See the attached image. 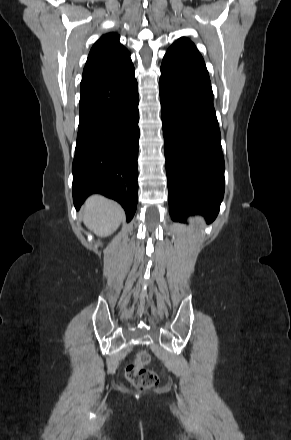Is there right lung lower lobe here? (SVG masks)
<instances>
[{
  "mask_svg": "<svg viewBox=\"0 0 291 440\" xmlns=\"http://www.w3.org/2000/svg\"><path fill=\"white\" fill-rule=\"evenodd\" d=\"M134 66L116 75L82 80L73 160L76 209L98 192L118 201L127 221L138 200L139 96Z\"/></svg>",
  "mask_w": 291,
  "mask_h": 440,
  "instance_id": "1",
  "label": "right lung lower lobe"
}]
</instances>
